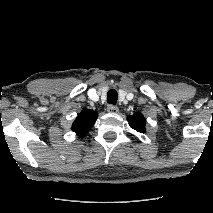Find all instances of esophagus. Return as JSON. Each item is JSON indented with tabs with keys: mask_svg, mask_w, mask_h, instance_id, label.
I'll use <instances>...</instances> for the list:
<instances>
[{
	"mask_svg": "<svg viewBox=\"0 0 213 213\" xmlns=\"http://www.w3.org/2000/svg\"><path fill=\"white\" fill-rule=\"evenodd\" d=\"M107 111L108 113L115 114L118 112V108L111 104V105H108Z\"/></svg>",
	"mask_w": 213,
	"mask_h": 213,
	"instance_id": "esophagus-1",
	"label": "esophagus"
}]
</instances>
